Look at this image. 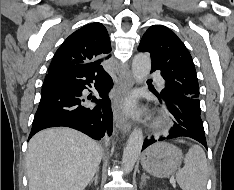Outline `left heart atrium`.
Masks as SVG:
<instances>
[{
    "label": "left heart atrium",
    "mask_w": 234,
    "mask_h": 190,
    "mask_svg": "<svg viewBox=\"0 0 234 190\" xmlns=\"http://www.w3.org/2000/svg\"><path fill=\"white\" fill-rule=\"evenodd\" d=\"M126 107H127L128 109H132V107H133L132 102H131V101H127V102H126Z\"/></svg>",
    "instance_id": "obj_1"
}]
</instances>
